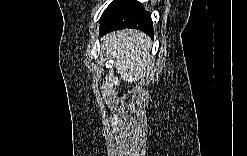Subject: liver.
I'll return each mask as SVG.
<instances>
[{
  "mask_svg": "<svg viewBox=\"0 0 247 156\" xmlns=\"http://www.w3.org/2000/svg\"><path fill=\"white\" fill-rule=\"evenodd\" d=\"M101 51L114 59L120 79L125 82L137 81L150 63L151 39L139 30L111 32L103 38Z\"/></svg>",
  "mask_w": 247,
  "mask_h": 156,
  "instance_id": "obj_1",
  "label": "liver"
}]
</instances>
